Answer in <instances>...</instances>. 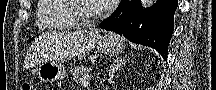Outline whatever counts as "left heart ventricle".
Returning a JSON list of instances; mask_svg holds the SVG:
<instances>
[{"instance_id": "obj_1", "label": "left heart ventricle", "mask_w": 216, "mask_h": 90, "mask_svg": "<svg viewBox=\"0 0 216 90\" xmlns=\"http://www.w3.org/2000/svg\"><path fill=\"white\" fill-rule=\"evenodd\" d=\"M78 10L86 15L94 16L100 6L99 1H78Z\"/></svg>"}]
</instances>
